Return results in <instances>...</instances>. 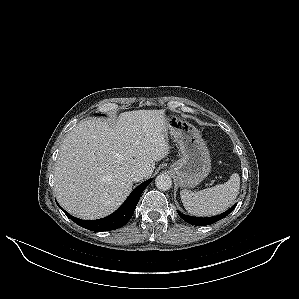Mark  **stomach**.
<instances>
[{"instance_id": "1", "label": "stomach", "mask_w": 299, "mask_h": 299, "mask_svg": "<svg viewBox=\"0 0 299 299\" xmlns=\"http://www.w3.org/2000/svg\"><path fill=\"white\" fill-rule=\"evenodd\" d=\"M167 132L179 145L181 158L171 165L183 188H193L211 171L209 150L200 132L192 124L174 114L166 116Z\"/></svg>"}]
</instances>
